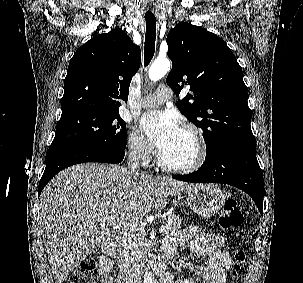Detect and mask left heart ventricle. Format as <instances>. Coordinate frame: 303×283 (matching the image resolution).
Instances as JSON below:
<instances>
[{"label": "left heart ventricle", "mask_w": 303, "mask_h": 283, "mask_svg": "<svg viewBox=\"0 0 303 283\" xmlns=\"http://www.w3.org/2000/svg\"><path fill=\"white\" fill-rule=\"evenodd\" d=\"M161 153L168 164L186 166L196 158L197 144L189 132L180 129L175 138Z\"/></svg>", "instance_id": "left-heart-ventricle-1"}]
</instances>
